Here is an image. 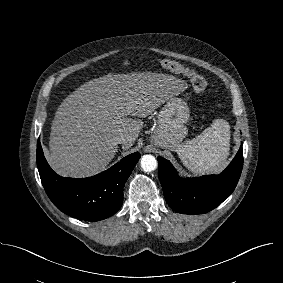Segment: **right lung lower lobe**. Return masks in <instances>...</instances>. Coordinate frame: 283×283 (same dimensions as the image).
Masks as SVG:
<instances>
[{"label": "right lung lower lobe", "instance_id": "98d812e1", "mask_svg": "<svg viewBox=\"0 0 283 283\" xmlns=\"http://www.w3.org/2000/svg\"><path fill=\"white\" fill-rule=\"evenodd\" d=\"M140 157V153H132L92 177L64 178L50 168L40 141L37 143V166L48 197L65 214L86 221L106 219L120 209L123 186Z\"/></svg>", "mask_w": 283, "mask_h": 283}]
</instances>
